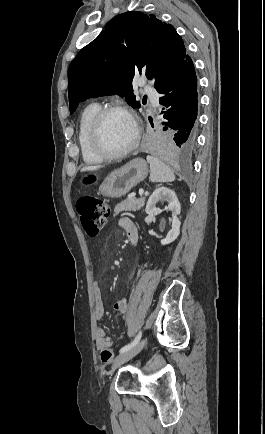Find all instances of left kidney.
<instances>
[{"label":"left kidney","instance_id":"obj_1","mask_svg":"<svg viewBox=\"0 0 265 434\" xmlns=\"http://www.w3.org/2000/svg\"><path fill=\"white\" fill-rule=\"evenodd\" d=\"M169 202L167 206V210H171L173 216L172 222V230L168 232L165 240H161V244L165 246V244H171L174 242L176 238H178L180 234V226L181 222L177 216H179L181 212L180 202H178V198L173 192V190H169V188H157L153 194H151L147 206H146V214H157L159 212L158 208H156L157 202Z\"/></svg>","mask_w":265,"mask_h":434}]
</instances>
